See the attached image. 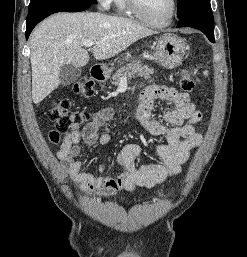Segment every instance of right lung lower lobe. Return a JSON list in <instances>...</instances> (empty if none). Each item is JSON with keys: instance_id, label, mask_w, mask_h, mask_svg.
I'll return each mask as SVG.
<instances>
[{"instance_id": "obj_1", "label": "right lung lower lobe", "mask_w": 247, "mask_h": 257, "mask_svg": "<svg viewBox=\"0 0 247 257\" xmlns=\"http://www.w3.org/2000/svg\"><path fill=\"white\" fill-rule=\"evenodd\" d=\"M91 4L75 2H53L46 3L29 9L26 24V39H28L33 28L41 20L56 12H80L86 10Z\"/></svg>"}]
</instances>
